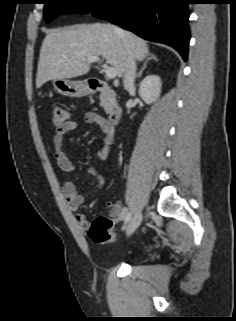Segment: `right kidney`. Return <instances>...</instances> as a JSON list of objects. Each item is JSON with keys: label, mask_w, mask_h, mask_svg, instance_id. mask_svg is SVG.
I'll return each instance as SVG.
<instances>
[{"label": "right kidney", "mask_w": 236, "mask_h": 321, "mask_svg": "<svg viewBox=\"0 0 236 321\" xmlns=\"http://www.w3.org/2000/svg\"><path fill=\"white\" fill-rule=\"evenodd\" d=\"M161 93V79L157 75H148L140 83L139 95L146 104L155 102Z\"/></svg>", "instance_id": "obj_1"}]
</instances>
